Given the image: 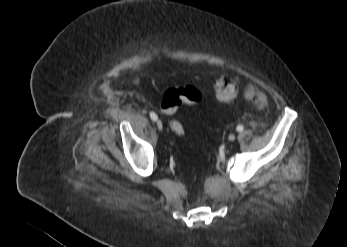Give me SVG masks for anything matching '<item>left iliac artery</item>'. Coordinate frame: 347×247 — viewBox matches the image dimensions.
<instances>
[{"mask_svg":"<svg viewBox=\"0 0 347 247\" xmlns=\"http://www.w3.org/2000/svg\"><path fill=\"white\" fill-rule=\"evenodd\" d=\"M243 129H244V127H243L242 125H238V126L236 127V130H237L238 132H242Z\"/></svg>","mask_w":347,"mask_h":247,"instance_id":"1","label":"left iliac artery"}]
</instances>
